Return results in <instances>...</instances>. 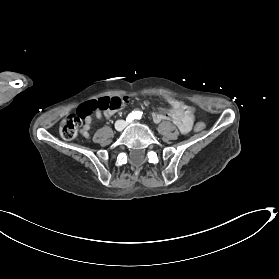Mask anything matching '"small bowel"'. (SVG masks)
Returning a JSON list of instances; mask_svg holds the SVG:
<instances>
[{
    "instance_id": "c3829d8e",
    "label": "small bowel",
    "mask_w": 279,
    "mask_h": 279,
    "mask_svg": "<svg viewBox=\"0 0 279 279\" xmlns=\"http://www.w3.org/2000/svg\"><path fill=\"white\" fill-rule=\"evenodd\" d=\"M168 104L171 106L172 110L170 113H154L153 119L155 122H160L165 119H171L181 133H188L193 125V118L183 107L182 103L172 97H166ZM115 111H97L95 113V118L106 119L109 118ZM93 123V118L91 116L85 118L84 125L82 128V135L84 137H89L91 125Z\"/></svg>"
}]
</instances>
